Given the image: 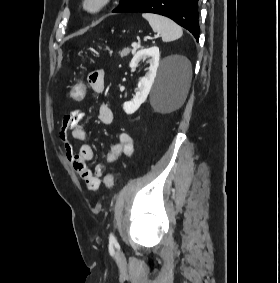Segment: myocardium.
<instances>
[{"instance_id":"obj_1","label":"myocardium","mask_w":280,"mask_h":283,"mask_svg":"<svg viewBox=\"0 0 280 283\" xmlns=\"http://www.w3.org/2000/svg\"><path fill=\"white\" fill-rule=\"evenodd\" d=\"M112 0H82V10L89 15H95L105 10Z\"/></svg>"}]
</instances>
